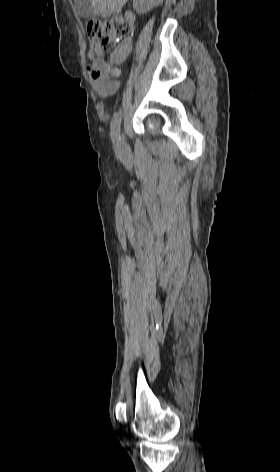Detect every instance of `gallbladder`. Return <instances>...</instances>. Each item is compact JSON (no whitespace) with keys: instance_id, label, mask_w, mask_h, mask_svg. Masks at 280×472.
<instances>
[{"instance_id":"obj_1","label":"gallbladder","mask_w":280,"mask_h":472,"mask_svg":"<svg viewBox=\"0 0 280 472\" xmlns=\"http://www.w3.org/2000/svg\"><path fill=\"white\" fill-rule=\"evenodd\" d=\"M78 14L82 18H88L94 15L90 0H75Z\"/></svg>"}]
</instances>
